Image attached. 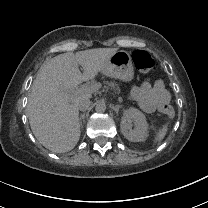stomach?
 Segmentation results:
<instances>
[{
    "label": "stomach",
    "instance_id": "obj_1",
    "mask_svg": "<svg viewBox=\"0 0 208 208\" xmlns=\"http://www.w3.org/2000/svg\"><path fill=\"white\" fill-rule=\"evenodd\" d=\"M103 75L129 82L133 79L134 69L131 56L124 50L116 51L100 71Z\"/></svg>",
    "mask_w": 208,
    "mask_h": 208
}]
</instances>
